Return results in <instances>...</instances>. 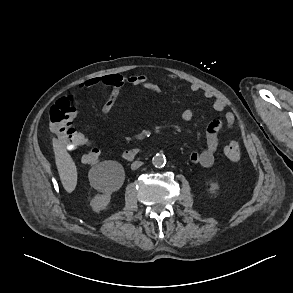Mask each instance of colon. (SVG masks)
<instances>
[{
  "label": "colon",
  "mask_w": 293,
  "mask_h": 293,
  "mask_svg": "<svg viewBox=\"0 0 293 293\" xmlns=\"http://www.w3.org/2000/svg\"><path fill=\"white\" fill-rule=\"evenodd\" d=\"M75 115L73 97H61L50 108V127L64 147L73 149L88 147V150L82 155V163L88 166L95 165L98 162L100 151L95 147H90L87 138L73 127ZM224 153L229 160H238L240 158L238 142L232 140L227 143L224 147Z\"/></svg>",
  "instance_id": "colon-1"
}]
</instances>
